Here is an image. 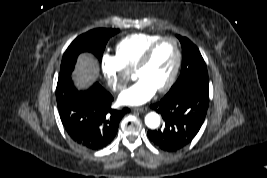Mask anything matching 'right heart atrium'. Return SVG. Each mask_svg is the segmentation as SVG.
I'll list each match as a JSON object with an SVG mask.
<instances>
[{"label":"right heart atrium","mask_w":267,"mask_h":178,"mask_svg":"<svg viewBox=\"0 0 267 178\" xmlns=\"http://www.w3.org/2000/svg\"><path fill=\"white\" fill-rule=\"evenodd\" d=\"M101 68L108 86L115 92L123 90L131 76L116 56L104 54L101 58Z\"/></svg>","instance_id":"1"}]
</instances>
